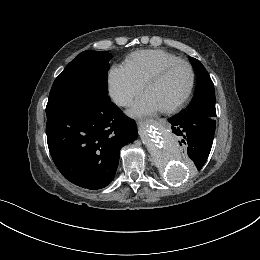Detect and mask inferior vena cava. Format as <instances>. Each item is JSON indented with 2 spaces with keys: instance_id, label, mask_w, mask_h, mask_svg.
<instances>
[{
  "instance_id": "602c4592",
  "label": "inferior vena cava",
  "mask_w": 260,
  "mask_h": 260,
  "mask_svg": "<svg viewBox=\"0 0 260 260\" xmlns=\"http://www.w3.org/2000/svg\"><path fill=\"white\" fill-rule=\"evenodd\" d=\"M114 102L116 103V105L118 106H125L130 102V99L126 96H116L114 99Z\"/></svg>"
}]
</instances>
